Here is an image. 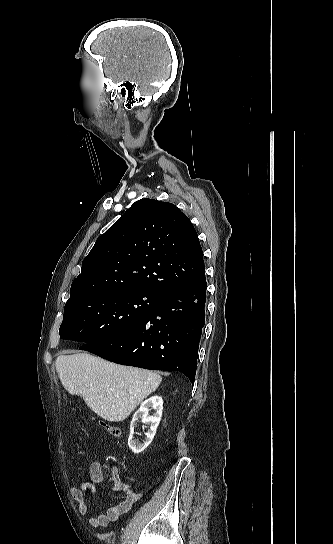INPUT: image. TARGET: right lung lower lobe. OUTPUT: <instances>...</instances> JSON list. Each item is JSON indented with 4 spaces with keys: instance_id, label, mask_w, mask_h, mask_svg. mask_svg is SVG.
<instances>
[{
    "instance_id": "obj_1",
    "label": "right lung lower lobe",
    "mask_w": 333,
    "mask_h": 544,
    "mask_svg": "<svg viewBox=\"0 0 333 544\" xmlns=\"http://www.w3.org/2000/svg\"><path fill=\"white\" fill-rule=\"evenodd\" d=\"M206 278L168 292L131 328L84 350L122 365L180 371L194 383L205 323Z\"/></svg>"
}]
</instances>
